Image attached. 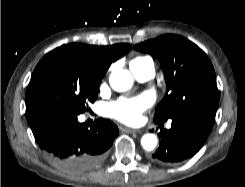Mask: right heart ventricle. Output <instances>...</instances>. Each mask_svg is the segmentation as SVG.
<instances>
[{"mask_svg": "<svg viewBox=\"0 0 245 187\" xmlns=\"http://www.w3.org/2000/svg\"><path fill=\"white\" fill-rule=\"evenodd\" d=\"M150 58L147 57V56H138V57H135L133 60H131L130 62V66L132 65H140L142 64L143 62L149 60Z\"/></svg>", "mask_w": 245, "mask_h": 187, "instance_id": "e07e8e85", "label": "right heart ventricle"}]
</instances>
